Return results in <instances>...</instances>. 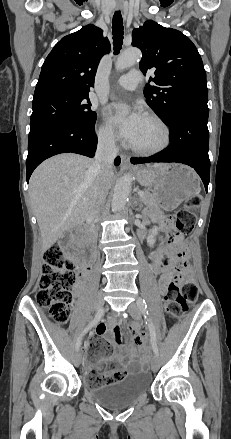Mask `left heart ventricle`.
Here are the masks:
<instances>
[{
	"label": "left heart ventricle",
	"mask_w": 231,
	"mask_h": 439,
	"mask_svg": "<svg viewBox=\"0 0 231 439\" xmlns=\"http://www.w3.org/2000/svg\"><path fill=\"white\" fill-rule=\"evenodd\" d=\"M161 140L162 131L160 127L156 123L145 118L132 145L140 148H150L159 144Z\"/></svg>",
	"instance_id": "obj_1"
}]
</instances>
